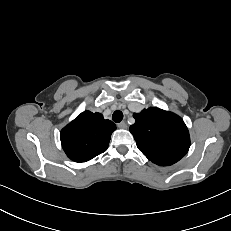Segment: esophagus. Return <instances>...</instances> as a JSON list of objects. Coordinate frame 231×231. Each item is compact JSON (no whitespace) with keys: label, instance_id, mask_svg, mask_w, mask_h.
<instances>
[{"label":"esophagus","instance_id":"esophagus-1","mask_svg":"<svg viewBox=\"0 0 231 231\" xmlns=\"http://www.w3.org/2000/svg\"><path fill=\"white\" fill-rule=\"evenodd\" d=\"M117 126H118V128H120V129H125V128H127V124H126V122H124V121L118 123Z\"/></svg>","mask_w":231,"mask_h":231}]
</instances>
